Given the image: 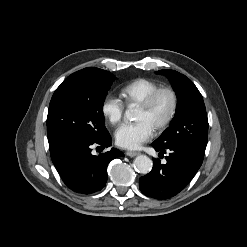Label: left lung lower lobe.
Instances as JSON below:
<instances>
[{"mask_svg":"<svg viewBox=\"0 0 247 247\" xmlns=\"http://www.w3.org/2000/svg\"><path fill=\"white\" fill-rule=\"evenodd\" d=\"M153 148L166 156V164L153 159L150 173L139 180L141 192L158 199H167L179 193L195 176L202 165L205 150H199L188 143L162 146L155 141Z\"/></svg>","mask_w":247,"mask_h":247,"instance_id":"0a47b994","label":"left lung lower lobe"}]
</instances>
